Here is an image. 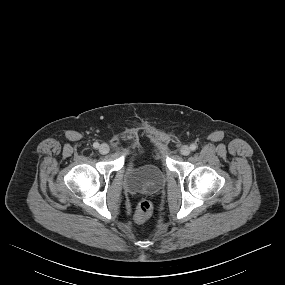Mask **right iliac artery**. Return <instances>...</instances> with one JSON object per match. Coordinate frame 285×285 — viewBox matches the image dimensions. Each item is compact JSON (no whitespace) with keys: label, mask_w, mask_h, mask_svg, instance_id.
<instances>
[{"label":"right iliac artery","mask_w":285,"mask_h":285,"mask_svg":"<svg viewBox=\"0 0 285 285\" xmlns=\"http://www.w3.org/2000/svg\"><path fill=\"white\" fill-rule=\"evenodd\" d=\"M93 147H94L95 149H97V148L99 147V143H98V142L93 143Z\"/></svg>","instance_id":"obj_1"}]
</instances>
